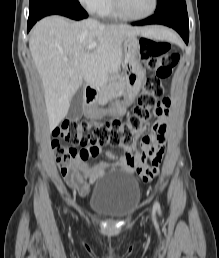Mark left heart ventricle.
<instances>
[{"label": "left heart ventricle", "instance_id": "obj_1", "mask_svg": "<svg viewBox=\"0 0 219 258\" xmlns=\"http://www.w3.org/2000/svg\"><path fill=\"white\" fill-rule=\"evenodd\" d=\"M125 12L129 15H143L148 13L153 6V0H121Z\"/></svg>", "mask_w": 219, "mask_h": 258}]
</instances>
